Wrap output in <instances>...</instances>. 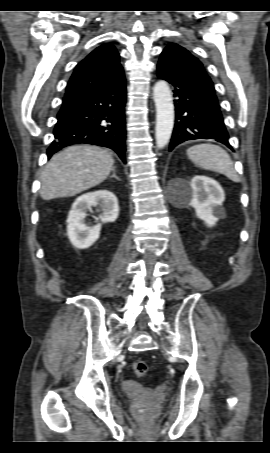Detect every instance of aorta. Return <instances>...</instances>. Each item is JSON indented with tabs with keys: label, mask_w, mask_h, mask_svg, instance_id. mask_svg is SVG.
<instances>
[{
	"label": "aorta",
	"mask_w": 270,
	"mask_h": 453,
	"mask_svg": "<svg viewBox=\"0 0 270 453\" xmlns=\"http://www.w3.org/2000/svg\"><path fill=\"white\" fill-rule=\"evenodd\" d=\"M153 99L156 106L155 140L157 147L161 149L168 144L174 126L173 98L166 81L156 82L153 87Z\"/></svg>",
	"instance_id": "1"
}]
</instances>
